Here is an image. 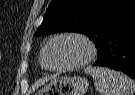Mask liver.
I'll return each mask as SVG.
<instances>
[{"label":"liver","mask_w":135,"mask_h":95,"mask_svg":"<svg viewBox=\"0 0 135 95\" xmlns=\"http://www.w3.org/2000/svg\"><path fill=\"white\" fill-rule=\"evenodd\" d=\"M52 78H55V76H53ZM47 80H48V78H46L45 80H43L42 82H40L39 85L44 84Z\"/></svg>","instance_id":"6515ba94"}]
</instances>
